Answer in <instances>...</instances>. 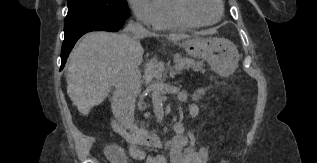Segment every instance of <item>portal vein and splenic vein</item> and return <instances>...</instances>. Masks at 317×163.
<instances>
[{
  "label": "portal vein and splenic vein",
  "instance_id": "1",
  "mask_svg": "<svg viewBox=\"0 0 317 163\" xmlns=\"http://www.w3.org/2000/svg\"><path fill=\"white\" fill-rule=\"evenodd\" d=\"M175 67L178 69V70H181V69H183V66H181V65H178V64H176L175 65Z\"/></svg>",
  "mask_w": 317,
  "mask_h": 163
}]
</instances>
